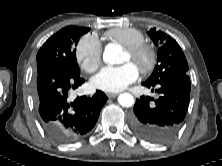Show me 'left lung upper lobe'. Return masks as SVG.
<instances>
[{
  "mask_svg": "<svg viewBox=\"0 0 222 166\" xmlns=\"http://www.w3.org/2000/svg\"><path fill=\"white\" fill-rule=\"evenodd\" d=\"M150 38L158 46L157 65L146 80L147 83H157L170 76L188 75V63L178 43L169 35L156 31L148 32Z\"/></svg>",
  "mask_w": 222,
  "mask_h": 166,
  "instance_id": "left-lung-upper-lobe-1",
  "label": "left lung upper lobe"
}]
</instances>
